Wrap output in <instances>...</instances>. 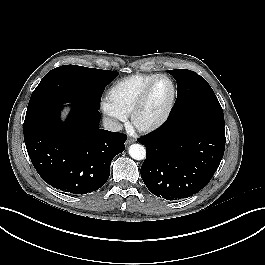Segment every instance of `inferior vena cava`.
Returning <instances> with one entry per match:
<instances>
[{
	"label": "inferior vena cava",
	"instance_id": "602c4592",
	"mask_svg": "<svg viewBox=\"0 0 265 265\" xmlns=\"http://www.w3.org/2000/svg\"><path fill=\"white\" fill-rule=\"evenodd\" d=\"M103 126H104V129L108 131L118 132L122 130V124L114 120H111L109 118L103 119Z\"/></svg>",
	"mask_w": 265,
	"mask_h": 265
}]
</instances>
